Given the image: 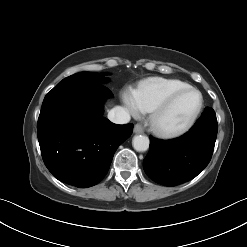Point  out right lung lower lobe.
Wrapping results in <instances>:
<instances>
[{
  "label": "right lung lower lobe",
  "mask_w": 247,
  "mask_h": 247,
  "mask_svg": "<svg viewBox=\"0 0 247 247\" xmlns=\"http://www.w3.org/2000/svg\"><path fill=\"white\" fill-rule=\"evenodd\" d=\"M111 91L98 83L56 86L44 98L37 134L43 161L58 180L87 188L107 174L118 146L133 124L117 125L102 116Z\"/></svg>",
  "instance_id": "1"
}]
</instances>
